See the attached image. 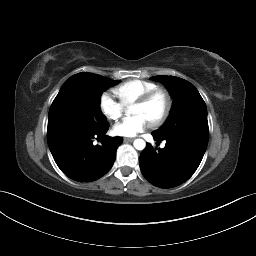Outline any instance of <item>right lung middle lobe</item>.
Masks as SVG:
<instances>
[{"instance_id": "dd1d6c3e", "label": "right lung middle lobe", "mask_w": 256, "mask_h": 256, "mask_svg": "<svg viewBox=\"0 0 256 256\" xmlns=\"http://www.w3.org/2000/svg\"><path fill=\"white\" fill-rule=\"evenodd\" d=\"M66 82L51 105L48 126H76L86 131L105 128L107 120L100 109L101 94L119 81L78 73Z\"/></svg>"}]
</instances>
